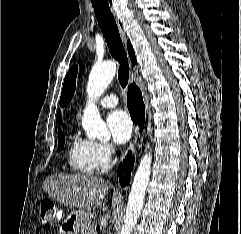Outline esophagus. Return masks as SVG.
I'll use <instances>...</instances> for the list:
<instances>
[{
  "instance_id": "34e87169",
  "label": "esophagus",
  "mask_w": 241,
  "mask_h": 234,
  "mask_svg": "<svg viewBox=\"0 0 241 234\" xmlns=\"http://www.w3.org/2000/svg\"><path fill=\"white\" fill-rule=\"evenodd\" d=\"M110 6H111V10L115 16V20H116V23H117V26H118V29H119V33H120V36H121V39L123 41V43L126 45V42H127V39H126V34H125V30H124V27H123V24L122 22L119 20V18H117L115 12H114V9L111 5V0H108ZM139 148V127L138 125L136 126V129L134 131V136H133V140L130 144V147L129 149H131L133 152H137Z\"/></svg>"
}]
</instances>
